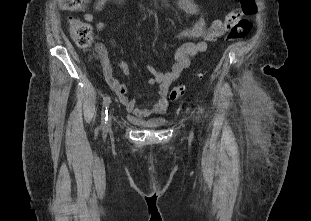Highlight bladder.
Instances as JSON below:
<instances>
[{
  "label": "bladder",
  "mask_w": 311,
  "mask_h": 221,
  "mask_svg": "<svg viewBox=\"0 0 311 221\" xmlns=\"http://www.w3.org/2000/svg\"><path fill=\"white\" fill-rule=\"evenodd\" d=\"M167 123L166 119L163 120H149V121H144L142 122V125H144L145 127H158L161 125H165Z\"/></svg>",
  "instance_id": "bladder-1"
}]
</instances>
